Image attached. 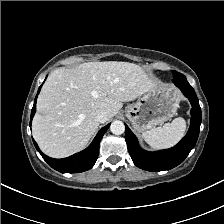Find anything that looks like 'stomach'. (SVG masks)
<instances>
[{
	"instance_id": "stomach-1",
	"label": "stomach",
	"mask_w": 224,
	"mask_h": 224,
	"mask_svg": "<svg viewBox=\"0 0 224 224\" xmlns=\"http://www.w3.org/2000/svg\"><path fill=\"white\" fill-rule=\"evenodd\" d=\"M181 95L168 84H159L125 108V115L137 132H144L170 120L176 113Z\"/></svg>"
}]
</instances>
